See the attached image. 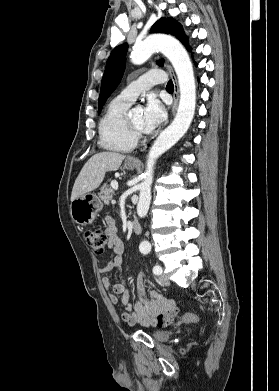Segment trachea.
Wrapping results in <instances>:
<instances>
[{"mask_svg":"<svg viewBox=\"0 0 279 391\" xmlns=\"http://www.w3.org/2000/svg\"><path fill=\"white\" fill-rule=\"evenodd\" d=\"M166 89H167V90H173V89H174V85H173L172 80H169V81H168L167 86H166Z\"/></svg>","mask_w":279,"mask_h":391,"instance_id":"1","label":"trachea"}]
</instances>
